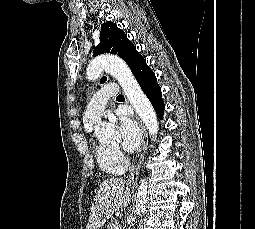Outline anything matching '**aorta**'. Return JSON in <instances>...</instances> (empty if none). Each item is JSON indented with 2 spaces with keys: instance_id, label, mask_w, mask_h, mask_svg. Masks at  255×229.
<instances>
[{
  "instance_id": "aorta-1",
  "label": "aorta",
  "mask_w": 255,
  "mask_h": 229,
  "mask_svg": "<svg viewBox=\"0 0 255 229\" xmlns=\"http://www.w3.org/2000/svg\"><path fill=\"white\" fill-rule=\"evenodd\" d=\"M103 70L112 75L118 81L130 104L147 127L149 134L153 137V139H155L158 132V120L156 113L128 65L119 57H97L91 61L87 67V79H98ZM96 135L100 141H108L118 137L117 132L107 123L101 124V126L96 129ZM147 202L148 186L146 179L143 178L140 180L136 200V212L139 216L144 214L146 211Z\"/></svg>"
}]
</instances>
